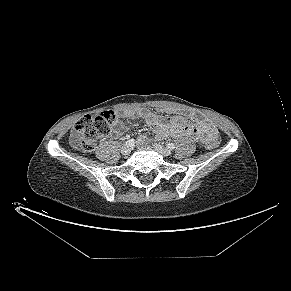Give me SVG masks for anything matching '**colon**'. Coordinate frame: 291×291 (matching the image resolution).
Here are the masks:
<instances>
[{"label":"colon","instance_id":"1","mask_svg":"<svg viewBox=\"0 0 291 291\" xmlns=\"http://www.w3.org/2000/svg\"><path fill=\"white\" fill-rule=\"evenodd\" d=\"M118 115L113 111H106L97 116L86 115L79 119L73 128L70 141L75 146L86 152L94 150L96 144L106 138L111 129L118 123ZM218 133H212L206 140L208 148L219 145Z\"/></svg>","mask_w":291,"mask_h":291}]
</instances>
